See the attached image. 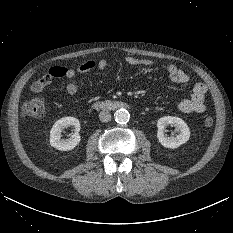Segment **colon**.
I'll use <instances>...</instances> for the list:
<instances>
[{
	"label": "colon",
	"mask_w": 233,
	"mask_h": 233,
	"mask_svg": "<svg viewBox=\"0 0 233 233\" xmlns=\"http://www.w3.org/2000/svg\"><path fill=\"white\" fill-rule=\"evenodd\" d=\"M44 112L45 102L44 99L40 96H34L25 101L21 109V114L23 117L39 118L43 116ZM213 123L214 120L211 116L204 118V125L206 127L212 126Z\"/></svg>",
	"instance_id": "1"
}]
</instances>
